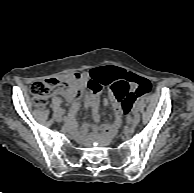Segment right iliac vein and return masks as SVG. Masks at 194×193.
<instances>
[{
	"mask_svg": "<svg viewBox=\"0 0 194 193\" xmlns=\"http://www.w3.org/2000/svg\"><path fill=\"white\" fill-rule=\"evenodd\" d=\"M57 121H58V122H62V118H59V117H58V118H57Z\"/></svg>",
	"mask_w": 194,
	"mask_h": 193,
	"instance_id": "right-iliac-vein-1",
	"label": "right iliac vein"
}]
</instances>
